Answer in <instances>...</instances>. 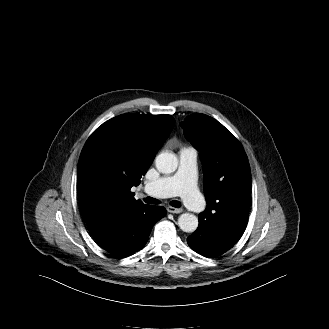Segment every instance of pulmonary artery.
I'll return each instance as SVG.
<instances>
[{
    "mask_svg": "<svg viewBox=\"0 0 329 329\" xmlns=\"http://www.w3.org/2000/svg\"><path fill=\"white\" fill-rule=\"evenodd\" d=\"M197 156L194 147H184L179 151V166L174 174L162 176L145 185L146 193L154 197H171L178 195L193 212H202L205 202L196 186Z\"/></svg>",
    "mask_w": 329,
    "mask_h": 329,
    "instance_id": "e3ab8cb5",
    "label": "pulmonary artery"
}]
</instances>
